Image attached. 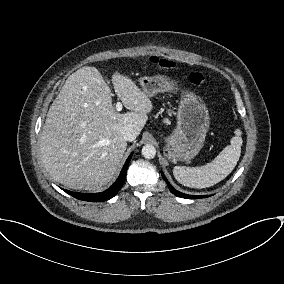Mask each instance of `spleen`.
Instances as JSON below:
<instances>
[{
	"instance_id": "spleen-1",
	"label": "spleen",
	"mask_w": 284,
	"mask_h": 284,
	"mask_svg": "<svg viewBox=\"0 0 284 284\" xmlns=\"http://www.w3.org/2000/svg\"><path fill=\"white\" fill-rule=\"evenodd\" d=\"M241 130H235L230 145L226 146L219 155L201 167L175 166L173 174L182 185L192 188H206L217 184L227 177L235 168L241 154Z\"/></svg>"
}]
</instances>
